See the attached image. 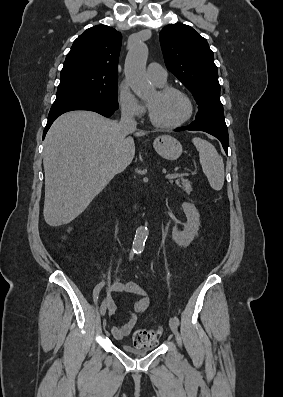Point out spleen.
Segmentation results:
<instances>
[{
  "instance_id": "3e777b00",
  "label": "spleen",
  "mask_w": 283,
  "mask_h": 397,
  "mask_svg": "<svg viewBox=\"0 0 283 397\" xmlns=\"http://www.w3.org/2000/svg\"><path fill=\"white\" fill-rule=\"evenodd\" d=\"M193 144L199 152L200 164L210 186L221 190L224 185V163L216 148L208 141L195 137Z\"/></svg>"
}]
</instances>
